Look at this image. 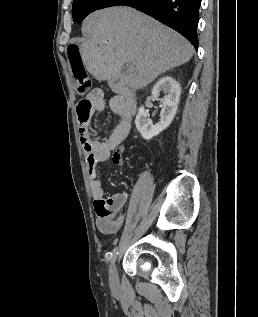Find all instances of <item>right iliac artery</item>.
<instances>
[{"label":"right iliac artery","mask_w":258,"mask_h":317,"mask_svg":"<svg viewBox=\"0 0 258 317\" xmlns=\"http://www.w3.org/2000/svg\"><path fill=\"white\" fill-rule=\"evenodd\" d=\"M117 255H118V247L116 246V247L113 249V261L116 260Z\"/></svg>","instance_id":"1"}]
</instances>
